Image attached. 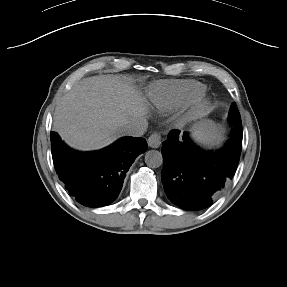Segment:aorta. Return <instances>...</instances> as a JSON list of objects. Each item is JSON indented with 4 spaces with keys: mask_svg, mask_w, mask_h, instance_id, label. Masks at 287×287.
Returning a JSON list of instances; mask_svg holds the SVG:
<instances>
[{
    "mask_svg": "<svg viewBox=\"0 0 287 287\" xmlns=\"http://www.w3.org/2000/svg\"><path fill=\"white\" fill-rule=\"evenodd\" d=\"M145 163L150 168H158L163 163L162 153L157 150H149L145 154Z\"/></svg>",
    "mask_w": 287,
    "mask_h": 287,
    "instance_id": "1",
    "label": "aorta"
}]
</instances>
